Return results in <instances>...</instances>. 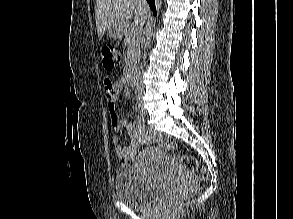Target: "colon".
<instances>
[{"label": "colon", "instance_id": "obj_1", "mask_svg": "<svg viewBox=\"0 0 293 219\" xmlns=\"http://www.w3.org/2000/svg\"><path fill=\"white\" fill-rule=\"evenodd\" d=\"M103 54V65L107 70H111L114 66L120 61V53L110 44L105 45L102 49ZM149 141L152 144L157 146L166 148L168 150L174 151L177 147L176 141L166 135L158 134V133H150ZM180 164L184 169L189 172L196 171L198 169L197 159L192 155H180L178 156ZM199 178L202 181H206L208 179V172L206 170H201ZM190 189L184 190L178 196H175L168 202L169 211H175L179 207L180 199L185 194L189 193Z\"/></svg>", "mask_w": 293, "mask_h": 219}]
</instances>
